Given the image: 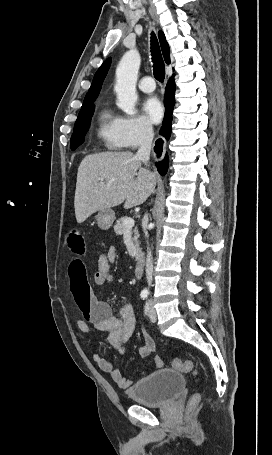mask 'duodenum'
<instances>
[{
    "instance_id": "obj_1",
    "label": "duodenum",
    "mask_w": 272,
    "mask_h": 455,
    "mask_svg": "<svg viewBox=\"0 0 272 455\" xmlns=\"http://www.w3.org/2000/svg\"><path fill=\"white\" fill-rule=\"evenodd\" d=\"M144 267V257L142 253H138L136 256V265H135V276L137 278L141 277Z\"/></svg>"
}]
</instances>
